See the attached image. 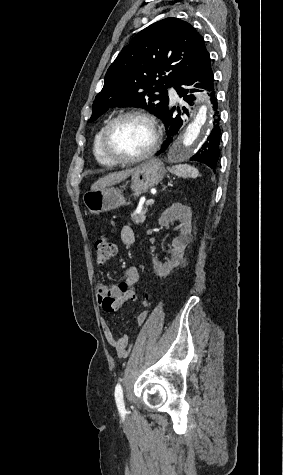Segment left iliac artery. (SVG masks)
Returning <instances> with one entry per match:
<instances>
[{
	"label": "left iliac artery",
	"mask_w": 283,
	"mask_h": 475,
	"mask_svg": "<svg viewBox=\"0 0 283 475\" xmlns=\"http://www.w3.org/2000/svg\"><path fill=\"white\" fill-rule=\"evenodd\" d=\"M115 400L117 407L119 409V412L121 413L122 416L126 414L125 410V405H124V400H123V390L120 384H117L115 387Z\"/></svg>",
	"instance_id": "1"
}]
</instances>
